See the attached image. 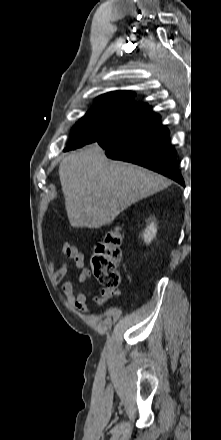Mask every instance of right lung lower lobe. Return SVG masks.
I'll return each instance as SVG.
<instances>
[{"label": "right lung lower lobe", "instance_id": "right-lung-lower-lobe-1", "mask_svg": "<svg viewBox=\"0 0 221 440\" xmlns=\"http://www.w3.org/2000/svg\"><path fill=\"white\" fill-rule=\"evenodd\" d=\"M168 135V129L160 125L159 115L148 106L96 142L111 159L138 164L183 185L177 153L168 143Z\"/></svg>", "mask_w": 221, "mask_h": 440}]
</instances>
